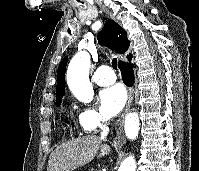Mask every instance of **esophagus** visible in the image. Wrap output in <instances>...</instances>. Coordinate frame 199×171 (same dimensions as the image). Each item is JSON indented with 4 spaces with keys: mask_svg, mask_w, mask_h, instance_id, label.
<instances>
[{
    "mask_svg": "<svg viewBox=\"0 0 199 171\" xmlns=\"http://www.w3.org/2000/svg\"><path fill=\"white\" fill-rule=\"evenodd\" d=\"M133 96H134V90L132 87H130L128 89V98H127L125 108H124L120 118L117 120V122L115 124L116 137L114 138V141H113V144L115 146H123L126 142V138H125L124 131H123L124 119L130 109L131 104H132Z\"/></svg>",
    "mask_w": 199,
    "mask_h": 171,
    "instance_id": "obj_1",
    "label": "esophagus"
}]
</instances>
